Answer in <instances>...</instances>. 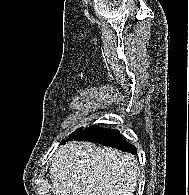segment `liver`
Returning a JSON list of instances; mask_svg holds the SVG:
<instances>
[{"label": "liver", "instance_id": "1", "mask_svg": "<svg viewBox=\"0 0 189 195\" xmlns=\"http://www.w3.org/2000/svg\"><path fill=\"white\" fill-rule=\"evenodd\" d=\"M137 170L133 155L69 142L57 150L50 168L53 195H134Z\"/></svg>", "mask_w": 189, "mask_h": 195}]
</instances>
